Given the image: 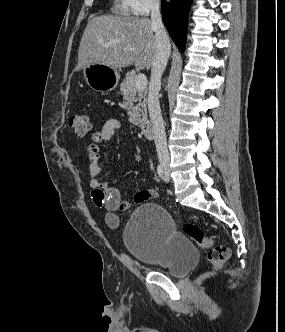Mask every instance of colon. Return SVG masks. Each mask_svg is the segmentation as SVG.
<instances>
[{
	"label": "colon",
	"mask_w": 285,
	"mask_h": 332,
	"mask_svg": "<svg viewBox=\"0 0 285 332\" xmlns=\"http://www.w3.org/2000/svg\"><path fill=\"white\" fill-rule=\"evenodd\" d=\"M69 126L73 133L80 138L86 137L92 129L88 117L81 114L71 117ZM183 231L201 247L209 249L207 258L213 267H220L230 257V249L224 245L213 246L212 241L206 237L200 226L194 223H186L183 226Z\"/></svg>",
	"instance_id": "1"
}]
</instances>
